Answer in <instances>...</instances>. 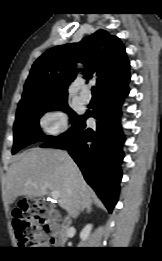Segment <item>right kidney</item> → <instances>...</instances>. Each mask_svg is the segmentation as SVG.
I'll list each match as a JSON object with an SVG mask.
<instances>
[{"label": "right kidney", "instance_id": "1", "mask_svg": "<svg viewBox=\"0 0 162 261\" xmlns=\"http://www.w3.org/2000/svg\"><path fill=\"white\" fill-rule=\"evenodd\" d=\"M92 230V224H87L82 231L80 232V238L81 240L85 241L88 239L90 232Z\"/></svg>", "mask_w": 162, "mask_h": 261}]
</instances>
